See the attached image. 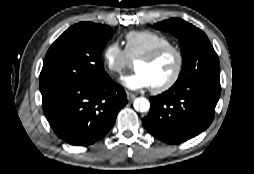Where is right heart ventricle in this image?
I'll return each mask as SVG.
<instances>
[{
    "label": "right heart ventricle",
    "instance_id": "obj_1",
    "mask_svg": "<svg viewBox=\"0 0 254 174\" xmlns=\"http://www.w3.org/2000/svg\"><path fill=\"white\" fill-rule=\"evenodd\" d=\"M125 40L126 51L131 59L141 58L158 47L172 44L168 36L153 30L130 31Z\"/></svg>",
    "mask_w": 254,
    "mask_h": 174
}]
</instances>
